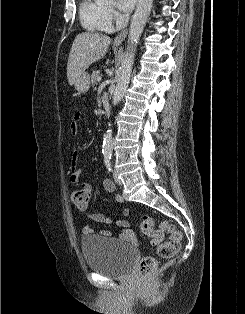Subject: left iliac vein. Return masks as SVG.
<instances>
[{"label": "left iliac vein", "mask_w": 245, "mask_h": 314, "mask_svg": "<svg viewBox=\"0 0 245 314\" xmlns=\"http://www.w3.org/2000/svg\"><path fill=\"white\" fill-rule=\"evenodd\" d=\"M113 178H114V181L118 184V185H121L122 182L121 180L119 179L118 175L116 172L113 173Z\"/></svg>", "instance_id": "left-iliac-vein-1"}]
</instances>
